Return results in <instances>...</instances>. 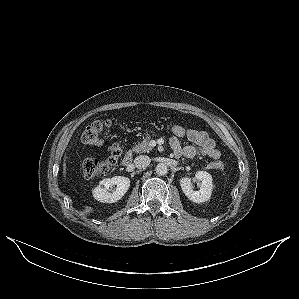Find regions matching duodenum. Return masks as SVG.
Here are the masks:
<instances>
[{"mask_svg": "<svg viewBox=\"0 0 299 299\" xmlns=\"http://www.w3.org/2000/svg\"><path fill=\"white\" fill-rule=\"evenodd\" d=\"M122 165L123 166H128L132 163V154L130 152H127L123 158H122V161H121Z\"/></svg>", "mask_w": 299, "mask_h": 299, "instance_id": "1", "label": "duodenum"}]
</instances>
